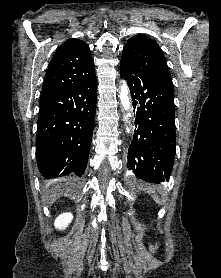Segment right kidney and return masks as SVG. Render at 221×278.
<instances>
[{
  "mask_svg": "<svg viewBox=\"0 0 221 278\" xmlns=\"http://www.w3.org/2000/svg\"><path fill=\"white\" fill-rule=\"evenodd\" d=\"M72 219H73L72 213L70 212L63 213L56 218L54 222V226L57 229H65L68 226V224L71 223Z\"/></svg>",
  "mask_w": 221,
  "mask_h": 278,
  "instance_id": "ca27d5eb",
  "label": "right kidney"
}]
</instances>
